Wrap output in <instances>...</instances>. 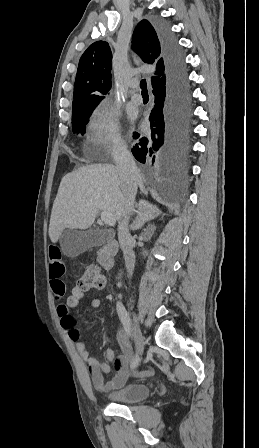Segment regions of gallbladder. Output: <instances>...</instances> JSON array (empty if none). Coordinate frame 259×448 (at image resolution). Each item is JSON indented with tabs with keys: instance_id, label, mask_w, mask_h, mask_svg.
Masks as SVG:
<instances>
[{
	"instance_id": "gallbladder-1",
	"label": "gallbladder",
	"mask_w": 259,
	"mask_h": 448,
	"mask_svg": "<svg viewBox=\"0 0 259 448\" xmlns=\"http://www.w3.org/2000/svg\"><path fill=\"white\" fill-rule=\"evenodd\" d=\"M112 232L109 230H87V232H77V230H66L61 238V248L68 258H76L86 250L94 246H106L112 240Z\"/></svg>"
}]
</instances>
